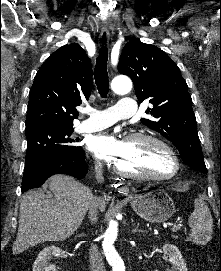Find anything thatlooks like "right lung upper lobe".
I'll list each match as a JSON object with an SVG mask.
<instances>
[{"label": "right lung upper lobe", "mask_w": 221, "mask_h": 271, "mask_svg": "<svg viewBox=\"0 0 221 271\" xmlns=\"http://www.w3.org/2000/svg\"><path fill=\"white\" fill-rule=\"evenodd\" d=\"M92 67L77 43L55 51L41 66L29 96L26 131L46 125L73 126L81 96L89 98Z\"/></svg>", "instance_id": "obj_1"}]
</instances>
